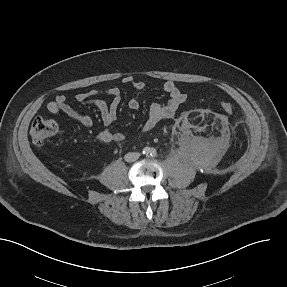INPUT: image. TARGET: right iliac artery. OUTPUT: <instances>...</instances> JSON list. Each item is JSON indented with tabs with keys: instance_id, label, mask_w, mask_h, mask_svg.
<instances>
[{
	"instance_id": "1",
	"label": "right iliac artery",
	"mask_w": 287,
	"mask_h": 287,
	"mask_svg": "<svg viewBox=\"0 0 287 287\" xmlns=\"http://www.w3.org/2000/svg\"><path fill=\"white\" fill-rule=\"evenodd\" d=\"M150 152H151V150H150V148H148V147L144 148L143 151H142V153H143L144 155H149Z\"/></svg>"
}]
</instances>
